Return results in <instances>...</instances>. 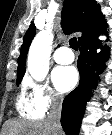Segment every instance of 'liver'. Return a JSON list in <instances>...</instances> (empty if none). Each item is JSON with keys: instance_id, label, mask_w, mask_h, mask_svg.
<instances>
[{"instance_id": "1", "label": "liver", "mask_w": 112, "mask_h": 135, "mask_svg": "<svg viewBox=\"0 0 112 135\" xmlns=\"http://www.w3.org/2000/svg\"><path fill=\"white\" fill-rule=\"evenodd\" d=\"M2 135H53V131L47 120L40 122L8 120L4 124Z\"/></svg>"}]
</instances>
